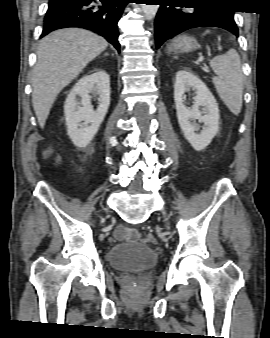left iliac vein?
<instances>
[{
  "mask_svg": "<svg viewBox=\"0 0 270 338\" xmlns=\"http://www.w3.org/2000/svg\"><path fill=\"white\" fill-rule=\"evenodd\" d=\"M166 224H167V227H168V220H167Z\"/></svg>",
  "mask_w": 270,
  "mask_h": 338,
  "instance_id": "left-iliac-vein-1",
  "label": "left iliac vein"
}]
</instances>
